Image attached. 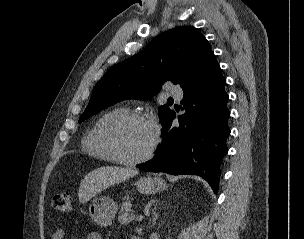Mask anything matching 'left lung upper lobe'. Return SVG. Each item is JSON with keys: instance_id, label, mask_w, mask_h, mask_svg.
<instances>
[{"instance_id": "left-lung-upper-lobe-1", "label": "left lung upper lobe", "mask_w": 304, "mask_h": 239, "mask_svg": "<svg viewBox=\"0 0 304 239\" xmlns=\"http://www.w3.org/2000/svg\"><path fill=\"white\" fill-rule=\"evenodd\" d=\"M213 54L209 42L193 26L176 27L158 35L144 50L109 69L96 84L79 123L126 99H150L166 81L185 90ZM172 110L159 107L163 123Z\"/></svg>"}]
</instances>
